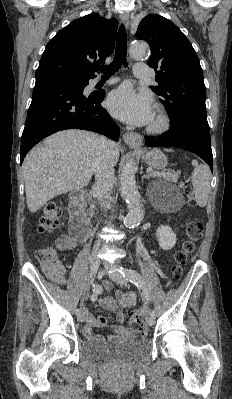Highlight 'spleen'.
Here are the masks:
<instances>
[{
	"label": "spleen",
	"instance_id": "1",
	"mask_svg": "<svg viewBox=\"0 0 232 399\" xmlns=\"http://www.w3.org/2000/svg\"><path fill=\"white\" fill-rule=\"evenodd\" d=\"M165 152H173V150H165ZM192 186L194 188V196L200 207H205L210 190H211V172L206 164L196 166L193 176H191Z\"/></svg>",
	"mask_w": 232,
	"mask_h": 399
}]
</instances>
